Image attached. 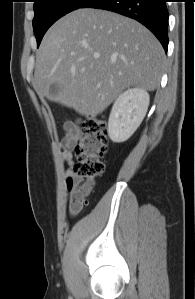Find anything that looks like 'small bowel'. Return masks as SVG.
<instances>
[{"instance_id":"small-bowel-1","label":"small bowel","mask_w":195,"mask_h":299,"mask_svg":"<svg viewBox=\"0 0 195 299\" xmlns=\"http://www.w3.org/2000/svg\"><path fill=\"white\" fill-rule=\"evenodd\" d=\"M64 129H65V137L63 139L62 160L64 162H67L68 165L70 166V168L67 169L65 172L67 188L68 190H70L74 178V173L71 168V166L73 165L72 149L76 145L81 135V128L77 122H67L64 125Z\"/></svg>"}]
</instances>
